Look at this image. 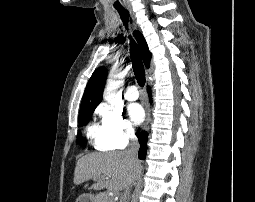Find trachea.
<instances>
[{
	"instance_id": "trachea-1",
	"label": "trachea",
	"mask_w": 255,
	"mask_h": 202,
	"mask_svg": "<svg viewBox=\"0 0 255 202\" xmlns=\"http://www.w3.org/2000/svg\"><path fill=\"white\" fill-rule=\"evenodd\" d=\"M117 11L120 14L122 21L127 27V23L129 19L128 11L125 10L124 8L117 9ZM130 58L132 61V67H133L135 78L138 84L142 87L145 84V70H144V66L142 63V59H141L137 44L131 38H130Z\"/></svg>"
}]
</instances>
